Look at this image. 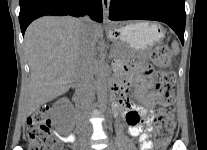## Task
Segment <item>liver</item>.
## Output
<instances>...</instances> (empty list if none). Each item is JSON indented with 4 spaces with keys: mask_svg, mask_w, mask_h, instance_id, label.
Segmentation results:
<instances>
[{
    "mask_svg": "<svg viewBox=\"0 0 207 150\" xmlns=\"http://www.w3.org/2000/svg\"><path fill=\"white\" fill-rule=\"evenodd\" d=\"M81 28V21L69 16H45L27 28L24 48L30 82L21 101L25 117L64 94L75 80ZM102 33V27L91 22L90 35L95 44Z\"/></svg>",
    "mask_w": 207,
    "mask_h": 150,
    "instance_id": "1",
    "label": "liver"
}]
</instances>
